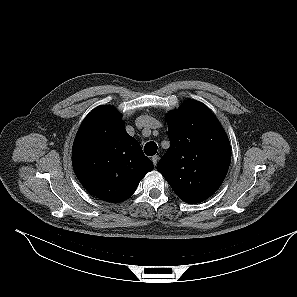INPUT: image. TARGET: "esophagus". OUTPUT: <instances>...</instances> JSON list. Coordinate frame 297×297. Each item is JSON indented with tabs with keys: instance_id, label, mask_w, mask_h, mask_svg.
Segmentation results:
<instances>
[{
	"instance_id": "34e87169",
	"label": "esophagus",
	"mask_w": 297,
	"mask_h": 297,
	"mask_svg": "<svg viewBox=\"0 0 297 297\" xmlns=\"http://www.w3.org/2000/svg\"><path fill=\"white\" fill-rule=\"evenodd\" d=\"M158 160H159V156H158V155H154V156L152 157V162H153V164H154L155 166L157 165Z\"/></svg>"
}]
</instances>
